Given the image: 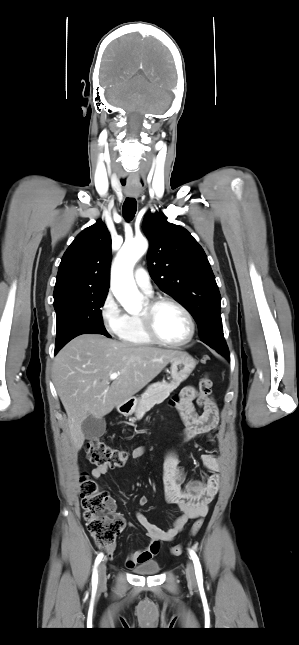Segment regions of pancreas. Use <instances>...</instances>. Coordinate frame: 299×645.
Wrapping results in <instances>:
<instances>
[{"label": "pancreas", "mask_w": 299, "mask_h": 645, "mask_svg": "<svg viewBox=\"0 0 299 645\" xmlns=\"http://www.w3.org/2000/svg\"><path fill=\"white\" fill-rule=\"evenodd\" d=\"M178 386L179 383L174 381L171 383L163 381L149 386L141 395L135 409V417L131 418V421L140 420L147 411L155 404L162 403Z\"/></svg>", "instance_id": "1"}]
</instances>
